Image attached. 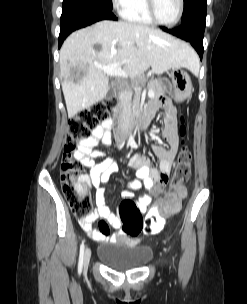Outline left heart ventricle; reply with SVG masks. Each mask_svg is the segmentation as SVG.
<instances>
[{"label": "left heart ventricle", "mask_w": 247, "mask_h": 304, "mask_svg": "<svg viewBox=\"0 0 247 304\" xmlns=\"http://www.w3.org/2000/svg\"><path fill=\"white\" fill-rule=\"evenodd\" d=\"M155 11L160 21L172 22L179 12V0H155Z\"/></svg>", "instance_id": "left-heart-ventricle-1"}]
</instances>
